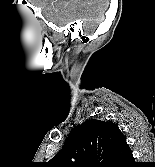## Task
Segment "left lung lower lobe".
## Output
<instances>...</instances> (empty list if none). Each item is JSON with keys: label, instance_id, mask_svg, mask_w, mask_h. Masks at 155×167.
I'll return each mask as SVG.
<instances>
[{"label": "left lung lower lobe", "instance_id": "1", "mask_svg": "<svg viewBox=\"0 0 155 167\" xmlns=\"http://www.w3.org/2000/svg\"><path fill=\"white\" fill-rule=\"evenodd\" d=\"M134 161L132 152L126 142L122 141L117 150L116 156L109 167H127L128 163Z\"/></svg>", "mask_w": 155, "mask_h": 167}]
</instances>
